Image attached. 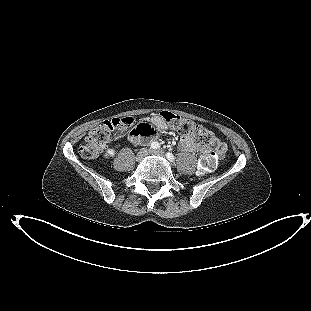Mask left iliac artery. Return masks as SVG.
<instances>
[{"label": "left iliac artery", "instance_id": "obj_1", "mask_svg": "<svg viewBox=\"0 0 311 311\" xmlns=\"http://www.w3.org/2000/svg\"><path fill=\"white\" fill-rule=\"evenodd\" d=\"M166 157H167V159H168L169 161H171V162H174V161H175L174 155H173L172 153H170V152H168V153L166 154Z\"/></svg>", "mask_w": 311, "mask_h": 311}]
</instances>
